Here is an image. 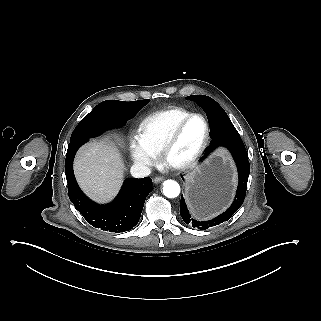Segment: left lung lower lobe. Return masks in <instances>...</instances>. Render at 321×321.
Segmentation results:
<instances>
[{
  "instance_id": "0a47b994",
  "label": "left lung lower lobe",
  "mask_w": 321,
  "mask_h": 321,
  "mask_svg": "<svg viewBox=\"0 0 321 321\" xmlns=\"http://www.w3.org/2000/svg\"><path fill=\"white\" fill-rule=\"evenodd\" d=\"M206 115L210 124V136L212 138V142L210 147L206 149L203 158H205L218 146L226 147L231 152L236 162L239 175V184L235 200L233 201L232 205L225 212L209 221H197L193 219L187 209L183 195L181 196V217L186 224H190L193 227L201 230L208 229L209 227H213L227 221L241 207L245 199L247 181L250 172L248 154L235 127L222 128L221 125L225 121V118L223 114L217 110L208 111Z\"/></svg>"
}]
</instances>
